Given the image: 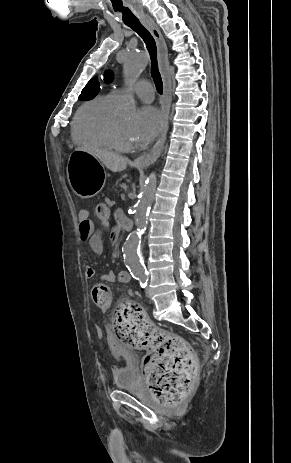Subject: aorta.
I'll return each instance as SVG.
<instances>
[{"instance_id":"1","label":"aorta","mask_w":291,"mask_h":463,"mask_svg":"<svg viewBox=\"0 0 291 463\" xmlns=\"http://www.w3.org/2000/svg\"><path fill=\"white\" fill-rule=\"evenodd\" d=\"M147 64L148 57L145 53L137 52L135 50L127 52L123 64V73L125 84L128 87H132L134 85L146 68ZM135 110V100L133 96L130 95L124 102V111L127 115H133ZM156 181V174L151 173L141 191L140 198L135 208L136 230L132 231L128 235L123 245V256L126 266L131 271V274L140 278L145 277L146 270L141 261L139 248L141 236L146 229L148 212L154 198Z\"/></svg>"}]
</instances>
